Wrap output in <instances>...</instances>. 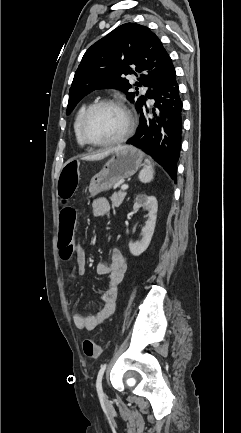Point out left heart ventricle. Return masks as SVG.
Segmentation results:
<instances>
[{
	"mask_svg": "<svg viewBox=\"0 0 241 433\" xmlns=\"http://www.w3.org/2000/svg\"><path fill=\"white\" fill-rule=\"evenodd\" d=\"M126 127L123 112L114 106H102L88 118L86 133L97 142H107L119 137Z\"/></svg>",
	"mask_w": 241,
	"mask_h": 433,
	"instance_id": "1",
	"label": "left heart ventricle"
}]
</instances>
